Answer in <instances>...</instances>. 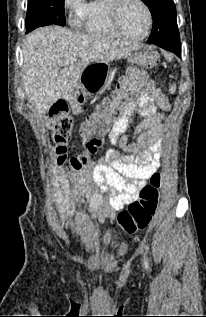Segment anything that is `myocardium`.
Wrapping results in <instances>:
<instances>
[{"mask_svg": "<svg viewBox=\"0 0 206 317\" xmlns=\"http://www.w3.org/2000/svg\"><path fill=\"white\" fill-rule=\"evenodd\" d=\"M128 1H130V0H109L108 13H109L110 24H111L113 30L115 31V33L122 38H125L128 40H133V41L143 40L146 37H148V35L150 34L151 29H152L153 16H152L151 9L144 0H135L145 10V13L147 16V28L142 35H139V36L128 35L122 29L121 24H120V15H121L122 8L124 7V5Z\"/></svg>", "mask_w": 206, "mask_h": 317, "instance_id": "myocardium-1", "label": "myocardium"}]
</instances>
